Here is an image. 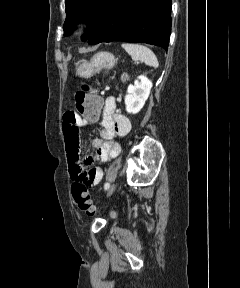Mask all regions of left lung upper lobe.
Returning a JSON list of instances; mask_svg holds the SVG:
<instances>
[{"mask_svg": "<svg viewBox=\"0 0 240 288\" xmlns=\"http://www.w3.org/2000/svg\"><path fill=\"white\" fill-rule=\"evenodd\" d=\"M108 3L109 0H65L67 16L63 26L64 35H70L73 26L84 21L88 24V30L83 35V40H88L100 24Z\"/></svg>", "mask_w": 240, "mask_h": 288, "instance_id": "1", "label": "left lung upper lobe"}]
</instances>
